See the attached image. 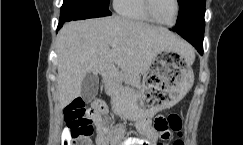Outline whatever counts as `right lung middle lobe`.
<instances>
[{
  "label": "right lung middle lobe",
  "mask_w": 243,
  "mask_h": 145,
  "mask_svg": "<svg viewBox=\"0 0 243 145\" xmlns=\"http://www.w3.org/2000/svg\"><path fill=\"white\" fill-rule=\"evenodd\" d=\"M87 1H91L104 8H109V0H87Z\"/></svg>",
  "instance_id": "obj_1"
}]
</instances>
